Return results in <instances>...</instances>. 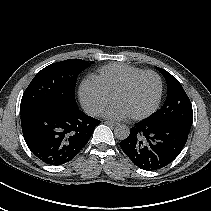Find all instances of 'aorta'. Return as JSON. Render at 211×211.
I'll use <instances>...</instances> for the list:
<instances>
[{
  "instance_id": "aorta-1",
  "label": "aorta",
  "mask_w": 211,
  "mask_h": 211,
  "mask_svg": "<svg viewBox=\"0 0 211 211\" xmlns=\"http://www.w3.org/2000/svg\"><path fill=\"white\" fill-rule=\"evenodd\" d=\"M129 134H130V129L127 125L124 124L117 125L114 130V135L119 140L126 139L129 136Z\"/></svg>"
}]
</instances>
